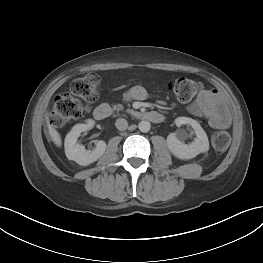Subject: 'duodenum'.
<instances>
[{"mask_svg": "<svg viewBox=\"0 0 263 263\" xmlns=\"http://www.w3.org/2000/svg\"><path fill=\"white\" fill-rule=\"evenodd\" d=\"M111 113V109L108 105L102 104L97 106L93 111V116L96 120H104L106 119ZM139 118L148 120L153 123H160L164 120V116L157 112V111H148L141 113Z\"/></svg>", "mask_w": 263, "mask_h": 263, "instance_id": "410a0bca", "label": "duodenum"}]
</instances>
